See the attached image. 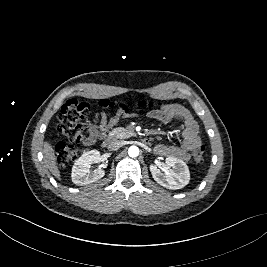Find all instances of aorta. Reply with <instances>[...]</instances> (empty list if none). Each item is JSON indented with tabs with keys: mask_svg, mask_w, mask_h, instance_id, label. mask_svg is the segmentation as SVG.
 Returning a JSON list of instances; mask_svg holds the SVG:
<instances>
[{
	"mask_svg": "<svg viewBox=\"0 0 267 267\" xmlns=\"http://www.w3.org/2000/svg\"><path fill=\"white\" fill-rule=\"evenodd\" d=\"M139 148L137 146H130L129 149H128V154L130 157L132 158H135V157H138L139 155Z\"/></svg>",
	"mask_w": 267,
	"mask_h": 267,
	"instance_id": "1",
	"label": "aorta"
}]
</instances>
